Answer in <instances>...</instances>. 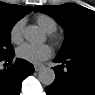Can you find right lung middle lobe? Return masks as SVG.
<instances>
[{
	"mask_svg": "<svg viewBox=\"0 0 95 95\" xmlns=\"http://www.w3.org/2000/svg\"><path fill=\"white\" fill-rule=\"evenodd\" d=\"M25 14L5 13L0 14V58H5L14 52L11 44V29L14 24Z\"/></svg>",
	"mask_w": 95,
	"mask_h": 95,
	"instance_id": "right-lung-middle-lobe-1",
	"label": "right lung middle lobe"
}]
</instances>
